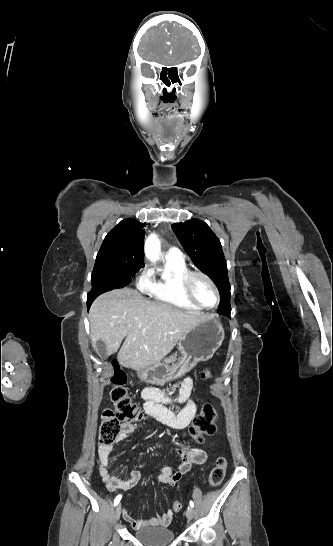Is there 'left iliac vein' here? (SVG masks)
Segmentation results:
<instances>
[{"instance_id":"left-iliac-vein-1","label":"left iliac vein","mask_w":333,"mask_h":546,"mask_svg":"<svg viewBox=\"0 0 333 546\" xmlns=\"http://www.w3.org/2000/svg\"><path fill=\"white\" fill-rule=\"evenodd\" d=\"M186 517L188 519H192V517H193V508L191 506L188 507L187 510H186Z\"/></svg>"}]
</instances>
